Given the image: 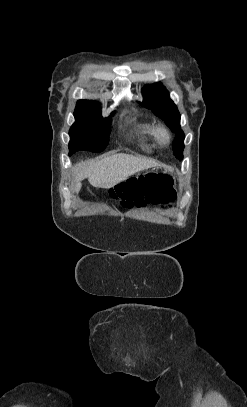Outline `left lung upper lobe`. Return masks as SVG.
Returning a JSON list of instances; mask_svg holds the SVG:
<instances>
[{
	"mask_svg": "<svg viewBox=\"0 0 247 407\" xmlns=\"http://www.w3.org/2000/svg\"><path fill=\"white\" fill-rule=\"evenodd\" d=\"M144 99L140 103L146 108L152 109L156 116H159L172 132L176 133L172 144L173 154L177 159H183L185 135L180 127V113L169 98V92L160 84L145 85L143 87Z\"/></svg>",
	"mask_w": 247,
	"mask_h": 407,
	"instance_id": "obj_1",
	"label": "left lung upper lobe"
}]
</instances>
